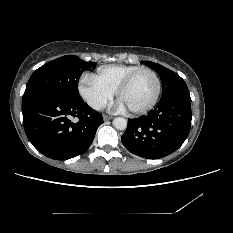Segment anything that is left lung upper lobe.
<instances>
[{
    "label": "left lung upper lobe",
    "instance_id": "obj_1",
    "mask_svg": "<svg viewBox=\"0 0 233 233\" xmlns=\"http://www.w3.org/2000/svg\"><path fill=\"white\" fill-rule=\"evenodd\" d=\"M142 64H145L146 66L155 70L161 78L163 90L160 101L165 100L166 98L179 92L188 91L185 81L170 69L151 61H143Z\"/></svg>",
    "mask_w": 233,
    "mask_h": 233
}]
</instances>
